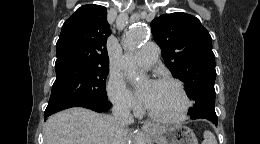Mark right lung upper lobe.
Listing matches in <instances>:
<instances>
[{
  "instance_id": "right-lung-upper-lobe-1",
  "label": "right lung upper lobe",
  "mask_w": 260,
  "mask_h": 144,
  "mask_svg": "<svg viewBox=\"0 0 260 144\" xmlns=\"http://www.w3.org/2000/svg\"><path fill=\"white\" fill-rule=\"evenodd\" d=\"M106 14L104 6L84 5L64 22L57 41L55 68L109 66L106 41L110 29Z\"/></svg>"
}]
</instances>
